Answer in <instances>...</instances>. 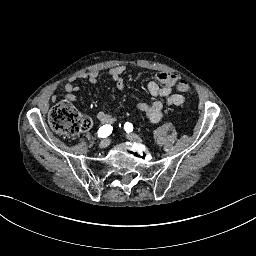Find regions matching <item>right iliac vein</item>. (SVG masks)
Returning a JSON list of instances; mask_svg holds the SVG:
<instances>
[{"instance_id":"obj_1","label":"right iliac vein","mask_w":256,"mask_h":256,"mask_svg":"<svg viewBox=\"0 0 256 256\" xmlns=\"http://www.w3.org/2000/svg\"><path fill=\"white\" fill-rule=\"evenodd\" d=\"M109 144H110V140L107 139V138H105V139H103V140L100 142L99 147H100L101 149H105V148H107V147L109 146Z\"/></svg>"}]
</instances>
